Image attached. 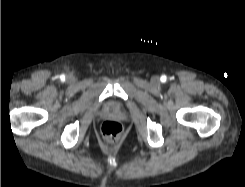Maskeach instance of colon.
Instances as JSON below:
<instances>
[{
	"label": "colon",
	"instance_id": "5ec220e1",
	"mask_svg": "<svg viewBox=\"0 0 245 187\" xmlns=\"http://www.w3.org/2000/svg\"><path fill=\"white\" fill-rule=\"evenodd\" d=\"M122 133V126L117 121H106L102 124L101 134L107 141L116 140Z\"/></svg>",
	"mask_w": 245,
	"mask_h": 187
}]
</instances>
